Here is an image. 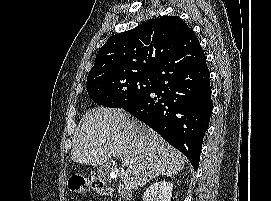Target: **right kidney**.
<instances>
[{"label":"right kidney","mask_w":271,"mask_h":201,"mask_svg":"<svg viewBox=\"0 0 271 201\" xmlns=\"http://www.w3.org/2000/svg\"><path fill=\"white\" fill-rule=\"evenodd\" d=\"M173 185L167 181L153 183L143 194V201H171Z\"/></svg>","instance_id":"1"}]
</instances>
